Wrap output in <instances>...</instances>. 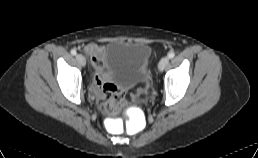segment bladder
<instances>
[{"mask_svg": "<svg viewBox=\"0 0 258 158\" xmlns=\"http://www.w3.org/2000/svg\"><path fill=\"white\" fill-rule=\"evenodd\" d=\"M151 53V46L144 42H110L103 51L105 75L126 89L146 83L150 79Z\"/></svg>", "mask_w": 258, "mask_h": 158, "instance_id": "bladder-1", "label": "bladder"}]
</instances>
